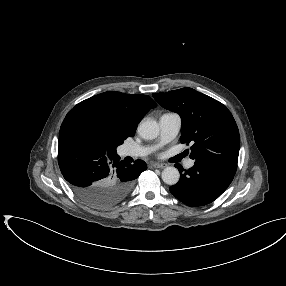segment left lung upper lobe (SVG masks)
<instances>
[{
  "label": "left lung upper lobe",
  "instance_id": "1",
  "mask_svg": "<svg viewBox=\"0 0 286 286\" xmlns=\"http://www.w3.org/2000/svg\"><path fill=\"white\" fill-rule=\"evenodd\" d=\"M153 97L162 107L180 115V141L193 143L190 158L195 164L235 175L240 136L232 114L222 103L188 87L154 93Z\"/></svg>",
  "mask_w": 286,
  "mask_h": 286
}]
</instances>
